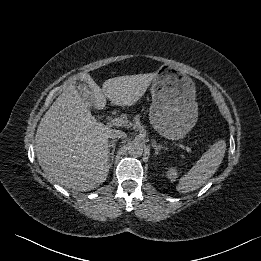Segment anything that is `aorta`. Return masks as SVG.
Returning <instances> with one entry per match:
<instances>
[{
    "label": "aorta",
    "mask_w": 261,
    "mask_h": 261,
    "mask_svg": "<svg viewBox=\"0 0 261 261\" xmlns=\"http://www.w3.org/2000/svg\"><path fill=\"white\" fill-rule=\"evenodd\" d=\"M128 152L133 157H139L143 154V145L139 141H132L128 145Z\"/></svg>",
    "instance_id": "obj_1"
}]
</instances>
